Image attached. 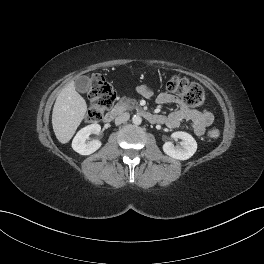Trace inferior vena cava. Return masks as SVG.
I'll return each instance as SVG.
<instances>
[{"label": "inferior vena cava", "mask_w": 264, "mask_h": 264, "mask_svg": "<svg viewBox=\"0 0 264 264\" xmlns=\"http://www.w3.org/2000/svg\"><path fill=\"white\" fill-rule=\"evenodd\" d=\"M130 118V114L129 113H123L121 115H119L118 117H116L115 119V124L116 125H120L122 123H125L126 121H128Z\"/></svg>", "instance_id": "inferior-vena-cava-1"}]
</instances>
